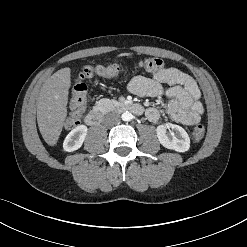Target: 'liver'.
<instances>
[{"mask_svg":"<svg viewBox=\"0 0 247 247\" xmlns=\"http://www.w3.org/2000/svg\"><path fill=\"white\" fill-rule=\"evenodd\" d=\"M70 72V68L55 72L39 93L37 123L44 141L50 146L56 145L67 116Z\"/></svg>","mask_w":247,"mask_h":247,"instance_id":"1","label":"liver"}]
</instances>
